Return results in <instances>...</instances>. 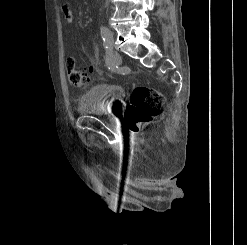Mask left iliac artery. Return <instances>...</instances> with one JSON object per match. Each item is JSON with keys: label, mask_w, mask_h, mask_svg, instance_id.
<instances>
[{"label": "left iliac artery", "mask_w": 247, "mask_h": 245, "mask_svg": "<svg viewBox=\"0 0 247 245\" xmlns=\"http://www.w3.org/2000/svg\"><path fill=\"white\" fill-rule=\"evenodd\" d=\"M101 36L104 41V46L107 50V58H112L113 48L112 45H114V32L110 31L107 27L102 26L100 28Z\"/></svg>", "instance_id": "left-iliac-artery-1"}]
</instances>
